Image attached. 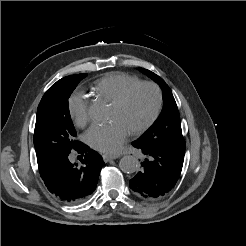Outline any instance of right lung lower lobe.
Segmentation results:
<instances>
[{
  "label": "right lung lower lobe",
  "mask_w": 246,
  "mask_h": 246,
  "mask_svg": "<svg viewBox=\"0 0 246 246\" xmlns=\"http://www.w3.org/2000/svg\"><path fill=\"white\" fill-rule=\"evenodd\" d=\"M81 158V166L71 163L69 154L56 156L38 163L41 178L48 190L59 200L77 204L86 200L96 189L102 156L80 143L75 149Z\"/></svg>",
  "instance_id": "1"
}]
</instances>
